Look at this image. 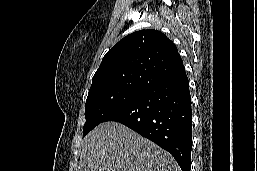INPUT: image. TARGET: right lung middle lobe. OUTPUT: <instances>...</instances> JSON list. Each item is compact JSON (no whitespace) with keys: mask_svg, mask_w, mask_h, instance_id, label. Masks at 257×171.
Here are the masks:
<instances>
[{"mask_svg":"<svg viewBox=\"0 0 257 171\" xmlns=\"http://www.w3.org/2000/svg\"><path fill=\"white\" fill-rule=\"evenodd\" d=\"M148 86L142 83L108 84L89 90L83 136Z\"/></svg>","mask_w":257,"mask_h":171,"instance_id":"obj_1","label":"right lung middle lobe"}]
</instances>
